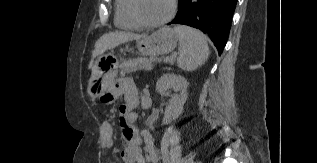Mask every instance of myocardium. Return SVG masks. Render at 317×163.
Segmentation results:
<instances>
[{
  "instance_id": "f54148a6",
  "label": "myocardium",
  "mask_w": 317,
  "mask_h": 163,
  "mask_svg": "<svg viewBox=\"0 0 317 163\" xmlns=\"http://www.w3.org/2000/svg\"><path fill=\"white\" fill-rule=\"evenodd\" d=\"M138 0H129V11L132 18L141 26L145 28H158L169 23L176 14L177 0H171V8L166 17L159 21L149 22L146 21L139 13Z\"/></svg>"
}]
</instances>
